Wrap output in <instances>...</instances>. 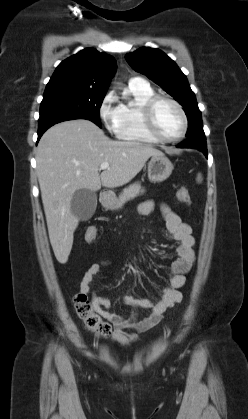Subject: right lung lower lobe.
<instances>
[{
	"instance_id": "98d812e1",
	"label": "right lung lower lobe",
	"mask_w": 248,
	"mask_h": 419,
	"mask_svg": "<svg viewBox=\"0 0 248 419\" xmlns=\"http://www.w3.org/2000/svg\"><path fill=\"white\" fill-rule=\"evenodd\" d=\"M74 119H86V118L84 116L75 115V114H60V115H54V116H50L45 119L39 120L38 140L43 135V133L52 125L62 122V121L74 120Z\"/></svg>"
}]
</instances>
